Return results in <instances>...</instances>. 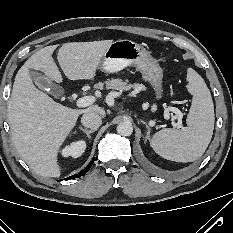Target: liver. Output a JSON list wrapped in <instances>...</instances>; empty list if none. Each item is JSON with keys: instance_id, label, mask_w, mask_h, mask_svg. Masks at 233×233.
Returning <instances> with one entry per match:
<instances>
[{"instance_id": "liver-1", "label": "liver", "mask_w": 233, "mask_h": 233, "mask_svg": "<svg viewBox=\"0 0 233 233\" xmlns=\"http://www.w3.org/2000/svg\"><path fill=\"white\" fill-rule=\"evenodd\" d=\"M113 40L70 42L63 44L57 54L60 67L70 80H93L102 56ZM56 45L34 53L16 74L7 105L8 122L14 146L21 158L38 175L59 177L58 153L74 128L79 115L106 113L98 104L78 110L55 102L38 90L29 70H40L51 80L62 82V75L52 54Z\"/></svg>"}]
</instances>
